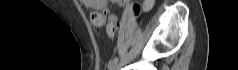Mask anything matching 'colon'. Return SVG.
Wrapping results in <instances>:
<instances>
[{"label":"colon","instance_id":"obj_1","mask_svg":"<svg viewBox=\"0 0 238 70\" xmlns=\"http://www.w3.org/2000/svg\"><path fill=\"white\" fill-rule=\"evenodd\" d=\"M153 2L151 0H148L145 2V7L148 9L152 6ZM141 10V7L139 4H135L134 6V12L135 14H139ZM118 23L119 20L118 19H109L108 20V25H107V35L109 38H114L117 28H118Z\"/></svg>","mask_w":238,"mask_h":70}]
</instances>
